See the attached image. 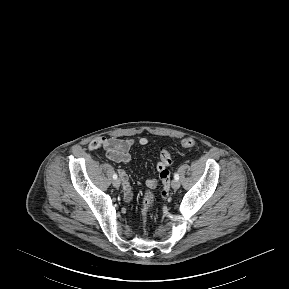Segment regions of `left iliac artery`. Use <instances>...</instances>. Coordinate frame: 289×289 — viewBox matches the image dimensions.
<instances>
[{"label":"left iliac artery","instance_id":"1","mask_svg":"<svg viewBox=\"0 0 289 289\" xmlns=\"http://www.w3.org/2000/svg\"><path fill=\"white\" fill-rule=\"evenodd\" d=\"M174 179L179 180V175L177 173L174 174Z\"/></svg>","mask_w":289,"mask_h":289}]
</instances>
